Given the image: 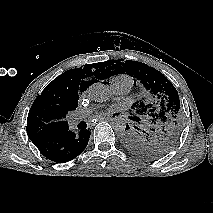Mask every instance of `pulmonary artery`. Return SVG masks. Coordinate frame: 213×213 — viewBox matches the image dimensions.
Instances as JSON below:
<instances>
[{"label":"pulmonary artery","mask_w":213,"mask_h":213,"mask_svg":"<svg viewBox=\"0 0 213 213\" xmlns=\"http://www.w3.org/2000/svg\"><path fill=\"white\" fill-rule=\"evenodd\" d=\"M132 84L133 83H132L131 79H127V78H124V79H114L113 78L110 82V85H111L113 91L119 95L128 93L132 88ZM92 110H93V108H87V109L81 110L77 115H74L71 118V123L77 124L84 117H86L89 113H91Z\"/></svg>","instance_id":"obj_1"}]
</instances>
